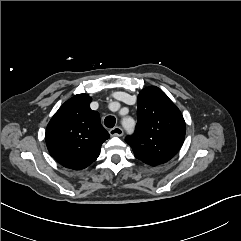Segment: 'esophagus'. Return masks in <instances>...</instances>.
<instances>
[{
	"instance_id": "esophagus-1",
	"label": "esophagus",
	"mask_w": 241,
	"mask_h": 241,
	"mask_svg": "<svg viewBox=\"0 0 241 241\" xmlns=\"http://www.w3.org/2000/svg\"><path fill=\"white\" fill-rule=\"evenodd\" d=\"M109 134L111 136H122L123 135V129L121 127H114L109 130Z\"/></svg>"
}]
</instances>
